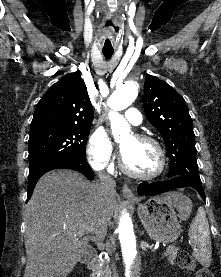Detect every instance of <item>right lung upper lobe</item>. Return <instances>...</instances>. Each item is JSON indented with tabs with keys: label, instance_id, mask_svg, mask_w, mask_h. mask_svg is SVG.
Segmentation results:
<instances>
[{
	"label": "right lung upper lobe",
	"instance_id": "1",
	"mask_svg": "<svg viewBox=\"0 0 221 277\" xmlns=\"http://www.w3.org/2000/svg\"><path fill=\"white\" fill-rule=\"evenodd\" d=\"M93 107L79 72L66 74L39 101L31 126H91Z\"/></svg>",
	"mask_w": 221,
	"mask_h": 277
}]
</instances>
